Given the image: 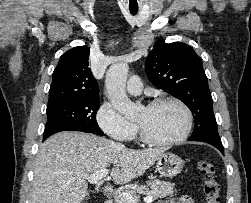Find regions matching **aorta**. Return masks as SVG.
I'll list each match as a JSON object with an SVG mask.
<instances>
[{
  "label": "aorta",
  "mask_w": 251,
  "mask_h": 203,
  "mask_svg": "<svg viewBox=\"0 0 251 203\" xmlns=\"http://www.w3.org/2000/svg\"><path fill=\"white\" fill-rule=\"evenodd\" d=\"M129 67L126 63H116L107 71L105 86L107 95L114 108L127 119L138 115L140 107L133 103L125 92Z\"/></svg>",
  "instance_id": "1"
}]
</instances>
